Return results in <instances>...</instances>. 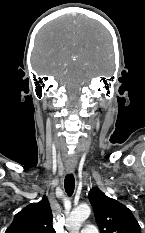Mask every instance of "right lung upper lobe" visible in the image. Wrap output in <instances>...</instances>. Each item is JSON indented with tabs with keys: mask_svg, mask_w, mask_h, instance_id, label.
<instances>
[{
	"mask_svg": "<svg viewBox=\"0 0 145 233\" xmlns=\"http://www.w3.org/2000/svg\"><path fill=\"white\" fill-rule=\"evenodd\" d=\"M49 201L44 197L17 213L5 233H55Z\"/></svg>",
	"mask_w": 145,
	"mask_h": 233,
	"instance_id": "cb5924a9",
	"label": "right lung upper lobe"
}]
</instances>
